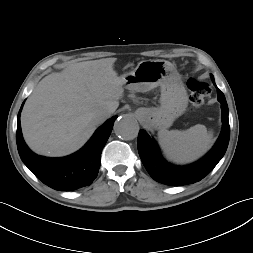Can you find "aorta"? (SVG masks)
<instances>
[{
    "label": "aorta",
    "instance_id": "762f6f07",
    "mask_svg": "<svg viewBox=\"0 0 253 253\" xmlns=\"http://www.w3.org/2000/svg\"><path fill=\"white\" fill-rule=\"evenodd\" d=\"M114 132L122 139L132 140L139 133V124L133 116L124 115L115 121Z\"/></svg>",
    "mask_w": 253,
    "mask_h": 253
}]
</instances>
